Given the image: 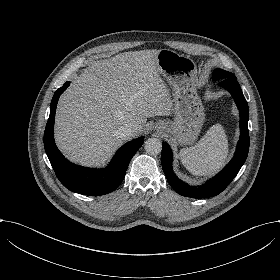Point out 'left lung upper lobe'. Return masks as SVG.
Returning <instances> with one entry per match:
<instances>
[{
	"mask_svg": "<svg viewBox=\"0 0 280 280\" xmlns=\"http://www.w3.org/2000/svg\"><path fill=\"white\" fill-rule=\"evenodd\" d=\"M226 79H231L232 81H237V78L235 77L234 74L222 70V69H215L213 72V80H219V81H223Z\"/></svg>",
	"mask_w": 280,
	"mask_h": 280,
	"instance_id": "5c2ea615",
	"label": "left lung upper lobe"
}]
</instances>
